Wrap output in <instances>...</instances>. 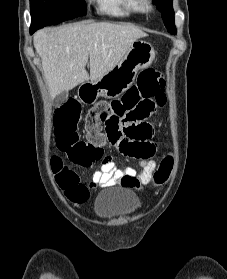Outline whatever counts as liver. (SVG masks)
<instances>
[{
	"mask_svg": "<svg viewBox=\"0 0 227 279\" xmlns=\"http://www.w3.org/2000/svg\"><path fill=\"white\" fill-rule=\"evenodd\" d=\"M147 34L130 24L83 22L42 29L33 37L51 98L102 77L117 65L132 43ZM90 64V73L86 65Z\"/></svg>",
	"mask_w": 227,
	"mask_h": 279,
	"instance_id": "6515ba94",
	"label": "liver"
}]
</instances>
